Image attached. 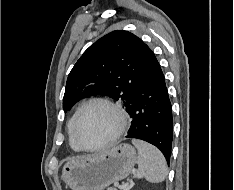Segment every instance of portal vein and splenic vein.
Instances as JSON below:
<instances>
[{"label": "portal vein and splenic vein", "instance_id": "obj_1", "mask_svg": "<svg viewBox=\"0 0 234 190\" xmlns=\"http://www.w3.org/2000/svg\"><path fill=\"white\" fill-rule=\"evenodd\" d=\"M114 185H115L116 187H118V188H122V189L125 190V186H120L119 183H115Z\"/></svg>", "mask_w": 234, "mask_h": 190}]
</instances>
